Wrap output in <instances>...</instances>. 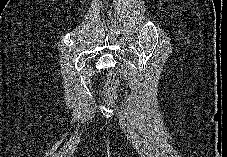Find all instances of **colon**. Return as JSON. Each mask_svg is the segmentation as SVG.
Listing matches in <instances>:
<instances>
[{
  "label": "colon",
  "mask_w": 227,
  "mask_h": 157,
  "mask_svg": "<svg viewBox=\"0 0 227 157\" xmlns=\"http://www.w3.org/2000/svg\"><path fill=\"white\" fill-rule=\"evenodd\" d=\"M119 86V76L116 71L111 70L108 73L106 88L109 94H113ZM111 101V100H110Z\"/></svg>",
  "instance_id": "1"
}]
</instances>
